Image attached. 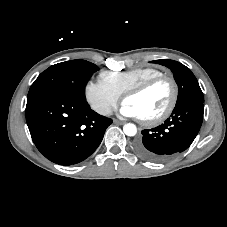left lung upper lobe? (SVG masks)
Listing matches in <instances>:
<instances>
[{
  "label": "left lung upper lobe",
  "mask_w": 227,
  "mask_h": 227,
  "mask_svg": "<svg viewBox=\"0 0 227 227\" xmlns=\"http://www.w3.org/2000/svg\"><path fill=\"white\" fill-rule=\"evenodd\" d=\"M150 63L161 64L168 67L173 72L174 79L178 85V98L176 104L191 98L204 100L198 81L188 67L180 62L166 59L154 60Z\"/></svg>",
  "instance_id": "left-lung-upper-lobe-1"
}]
</instances>
